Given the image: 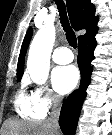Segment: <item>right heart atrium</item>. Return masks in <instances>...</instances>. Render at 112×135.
Returning <instances> with one entry per match:
<instances>
[{
  "label": "right heart atrium",
  "instance_id": "d8ad5b80",
  "mask_svg": "<svg viewBox=\"0 0 112 135\" xmlns=\"http://www.w3.org/2000/svg\"><path fill=\"white\" fill-rule=\"evenodd\" d=\"M32 95L36 106L45 113L59 105V98L46 86L35 87Z\"/></svg>",
  "mask_w": 112,
  "mask_h": 135
}]
</instances>
